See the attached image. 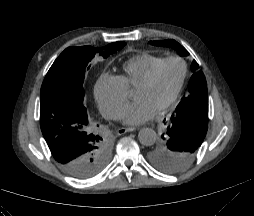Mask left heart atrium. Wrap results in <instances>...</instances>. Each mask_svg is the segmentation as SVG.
Listing matches in <instances>:
<instances>
[{
	"label": "left heart atrium",
	"mask_w": 254,
	"mask_h": 216,
	"mask_svg": "<svg viewBox=\"0 0 254 216\" xmlns=\"http://www.w3.org/2000/svg\"><path fill=\"white\" fill-rule=\"evenodd\" d=\"M157 110L142 99H136L124 110L122 119L126 125H139L153 118Z\"/></svg>",
	"instance_id": "39dd6f15"
}]
</instances>
